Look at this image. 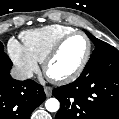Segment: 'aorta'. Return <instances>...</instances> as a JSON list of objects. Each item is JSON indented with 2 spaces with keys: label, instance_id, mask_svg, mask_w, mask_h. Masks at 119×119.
<instances>
[{
  "label": "aorta",
  "instance_id": "aorta-1",
  "mask_svg": "<svg viewBox=\"0 0 119 119\" xmlns=\"http://www.w3.org/2000/svg\"><path fill=\"white\" fill-rule=\"evenodd\" d=\"M45 107L49 112H56L59 110L60 103L56 98H50L46 101Z\"/></svg>",
  "mask_w": 119,
  "mask_h": 119
}]
</instances>
